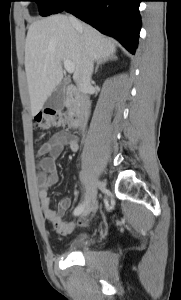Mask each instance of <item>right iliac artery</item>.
<instances>
[{
	"label": "right iliac artery",
	"mask_w": 181,
	"mask_h": 300,
	"mask_svg": "<svg viewBox=\"0 0 181 300\" xmlns=\"http://www.w3.org/2000/svg\"><path fill=\"white\" fill-rule=\"evenodd\" d=\"M84 207H85V204H84V203H83V204H80L79 206H77V207L75 208L73 214H74L75 216L80 215V214L84 211Z\"/></svg>",
	"instance_id": "right-iliac-artery-1"
}]
</instances>
